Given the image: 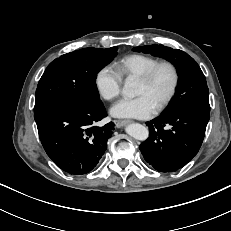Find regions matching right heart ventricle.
Segmentation results:
<instances>
[{
	"mask_svg": "<svg viewBox=\"0 0 231 231\" xmlns=\"http://www.w3.org/2000/svg\"><path fill=\"white\" fill-rule=\"evenodd\" d=\"M159 60L146 54H130L124 56L115 63L117 72L126 78H138L154 66Z\"/></svg>",
	"mask_w": 231,
	"mask_h": 231,
	"instance_id": "right-heart-ventricle-1",
	"label": "right heart ventricle"
}]
</instances>
